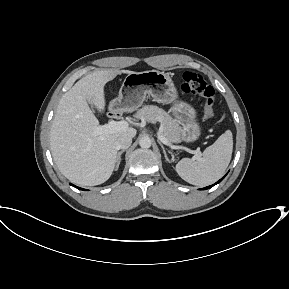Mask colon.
Returning a JSON list of instances; mask_svg holds the SVG:
<instances>
[{
	"mask_svg": "<svg viewBox=\"0 0 289 289\" xmlns=\"http://www.w3.org/2000/svg\"><path fill=\"white\" fill-rule=\"evenodd\" d=\"M181 90L186 94L198 95L205 101L203 120L209 121L214 116L213 87L199 73L186 71L182 74Z\"/></svg>",
	"mask_w": 289,
	"mask_h": 289,
	"instance_id": "obj_1",
	"label": "colon"
}]
</instances>
